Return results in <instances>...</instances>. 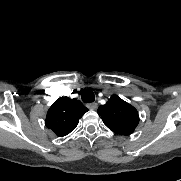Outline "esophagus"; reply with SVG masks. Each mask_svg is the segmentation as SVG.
<instances>
[{
	"label": "esophagus",
	"mask_w": 181,
	"mask_h": 181,
	"mask_svg": "<svg viewBox=\"0 0 181 181\" xmlns=\"http://www.w3.org/2000/svg\"><path fill=\"white\" fill-rule=\"evenodd\" d=\"M87 108L90 110H95L97 108V103H89L87 104Z\"/></svg>",
	"instance_id": "1"
}]
</instances>
